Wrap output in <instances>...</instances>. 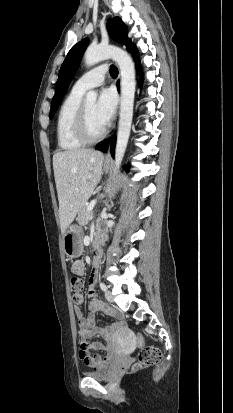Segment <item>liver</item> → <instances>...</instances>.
Listing matches in <instances>:
<instances>
[{"label": "liver", "instance_id": "liver-1", "mask_svg": "<svg viewBox=\"0 0 233 413\" xmlns=\"http://www.w3.org/2000/svg\"><path fill=\"white\" fill-rule=\"evenodd\" d=\"M103 160V154L92 149L54 154L53 169L62 232L70 226L100 182Z\"/></svg>", "mask_w": 233, "mask_h": 413}]
</instances>
